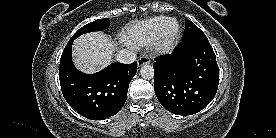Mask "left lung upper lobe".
Here are the masks:
<instances>
[{
    "label": "left lung upper lobe",
    "instance_id": "obj_1",
    "mask_svg": "<svg viewBox=\"0 0 276 138\" xmlns=\"http://www.w3.org/2000/svg\"><path fill=\"white\" fill-rule=\"evenodd\" d=\"M207 38L206 35L190 20L186 19L185 32L181 42Z\"/></svg>",
    "mask_w": 276,
    "mask_h": 138
}]
</instances>
